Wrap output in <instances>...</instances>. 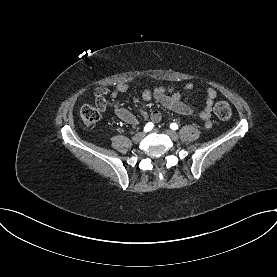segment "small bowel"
<instances>
[{"label":"small bowel","mask_w":277,"mask_h":277,"mask_svg":"<svg viewBox=\"0 0 277 277\" xmlns=\"http://www.w3.org/2000/svg\"><path fill=\"white\" fill-rule=\"evenodd\" d=\"M194 88L192 83H187L183 87V91H190ZM129 89V85L127 83L118 84L114 90L111 92L110 96L113 101V109L116 116L122 121L136 125L139 123V119L128 109L124 108L120 102V95L127 92ZM108 90L105 87H97L94 90V97L96 104H103L105 106V95H107ZM217 97V92L213 87H207L205 89V103L204 109L201 113H198L196 110L186 105L181 101V93L173 92L169 94L168 87L159 86L152 93L148 89H144L142 92V98L144 101H150L154 98L165 108L172 110L178 114L188 116V117H198L200 116L203 119H206L205 126L209 128L211 126L210 120L208 117L212 111L213 103L215 98ZM139 112L144 119H150L152 122L158 123L161 120V113L158 110H154L148 113L143 108H139Z\"/></svg>","instance_id":"1"}]
</instances>
